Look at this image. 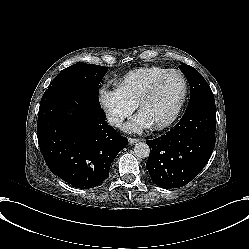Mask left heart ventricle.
<instances>
[{"mask_svg":"<svg viewBox=\"0 0 249 249\" xmlns=\"http://www.w3.org/2000/svg\"><path fill=\"white\" fill-rule=\"evenodd\" d=\"M181 84L174 77L162 87L143 109V118L151 123H162L169 119L178 102Z\"/></svg>","mask_w":249,"mask_h":249,"instance_id":"left-heart-ventricle-1","label":"left heart ventricle"}]
</instances>
